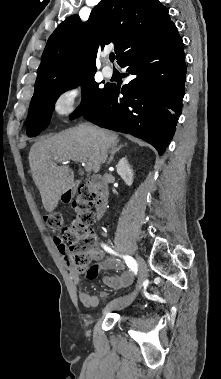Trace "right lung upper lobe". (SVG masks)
<instances>
[{"instance_id": "obj_1", "label": "right lung upper lobe", "mask_w": 221, "mask_h": 379, "mask_svg": "<svg viewBox=\"0 0 221 379\" xmlns=\"http://www.w3.org/2000/svg\"><path fill=\"white\" fill-rule=\"evenodd\" d=\"M172 23L159 0H101L87 22L72 15L51 34L37 71L35 92L55 81L95 72L97 52L110 43L119 62Z\"/></svg>"}]
</instances>
